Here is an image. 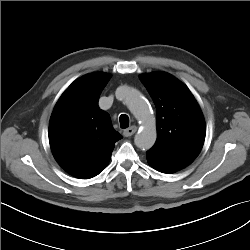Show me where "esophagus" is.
<instances>
[{
	"instance_id": "obj_1",
	"label": "esophagus",
	"mask_w": 250,
	"mask_h": 250,
	"mask_svg": "<svg viewBox=\"0 0 250 250\" xmlns=\"http://www.w3.org/2000/svg\"><path fill=\"white\" fill-rule=\"evenodd\" d=\"M137 131V127L136 126H131L127 129L124 130L123 134L125 137H130L132 136L135 132Z\"/></svg>"
}]
</instances>
